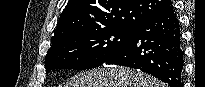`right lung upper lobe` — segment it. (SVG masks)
Instances as JSON below:
<instances>
[{
  "mask_svg": "<svg viewBox=\"0 0 205 87\" xmlns=\"http://www.w3.org/2000/svg\"><path fill=\"white\" fill-rule=\"evenodd\" d=\"M169 0H69L60 15L52 43L106 28L135 29L171 6Z\"/></svg>",
  "mask_w": 205,
  "mask_h": 87,
  "instance_id": "1",
  "label": "right lung upper lobe"
}]
</instances>
